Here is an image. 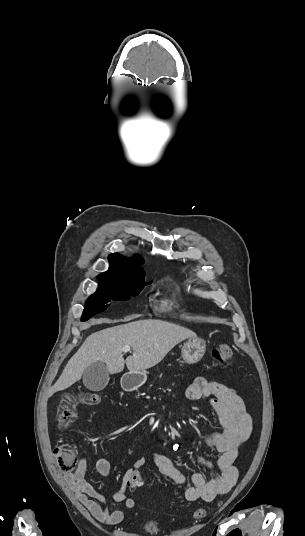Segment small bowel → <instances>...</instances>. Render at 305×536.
<instances>
[{
	"label": "small bowel",
	"mask_w": 305,
	"mask_h": 536,
	"mask_svg": "<svg viewBox=\"0 0 305 536\" xmlns=\"http://www.w3.org/2000/svg\"><path fill=\"white\" fill-rule=\"evenodd\" d=\"M186 397L189 400L212 397L210 404L224 427V431L221 433L206 432L200 436L207 446L219 453L215 475L207 479L204 475L195 473L190 480H187L171 458L154 453L152 459L161 474L174 483L185 487V498L188 501L201 499L205 502H211L216 497L228 493L237 482L238 470L234 462L240 447L250 438L252 419L237 391L229 385L198 377L187 387ZM145 462L146 458L144 457L136 461V463H140L141 467ZM199 462L208 468H213L210 461L201 459ZM87 466V457H82L75 470L65 475L68 486L99 522L106 525L120 523L123 519V512L120 510L110 511L104 497L85 480ZM96 471L101 476L107 477L111 472L110 462L104 458L98 459ZM128 487L127 470L123 477L121 489L113 496V500L116 503H122L125 509H133L135 500L127 496Z\"/></svg>",
	"instance_id": "small-bowel-1"
}]
</instances>
